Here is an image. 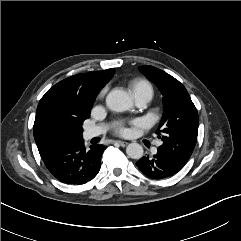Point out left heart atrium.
Returning a JSON list of instances; mask_svg holds the SVG:
<instances>
[{
	"mask_svg": "<svg viewBox=\"0 0 241 241\" xmlns=\"http://www.w3.org/2000/svg\"><path fill=\"white\" fill-rule=\"evenodd\" d=\"M135 124L137 125H140L141 122L140 121H136ZM117 132L120 134V135H123V136H126L129 134V130L125 127V126H119L117 128Z\"/></svg>",
	"mask_w": 241,
	"mask_h": 241,
	"instance_id": "obj_1",
	"label": "left heart atrium"
}]
</instances>
